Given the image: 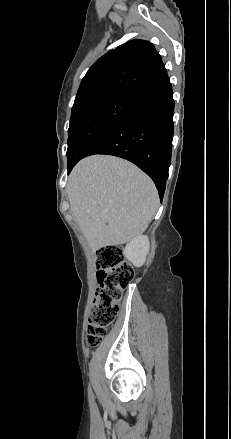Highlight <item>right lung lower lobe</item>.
I'll use <instances>...</instances> for the list:
<instances>
[{
  "label": "right lung lower lobe",
  "instance_id": "1",
  "mask_svg": "<svg viewBox=\"0 0 231 439\" xmlns=\"http://www.w3.org/2000/svg\"><path fill=\"white\" fill-rule=\"evenodd\" d=\"M140 107L98 133L81 155L68 164V174L82 158L93 154L114 155L131 161L154 181L162 200L171 162L174 100L169 78L135 93Z\"/></svg>",
  "mask_w": 231,
  "mask_h": 439
}]
</instances>
